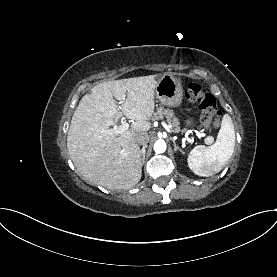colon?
Returning <instances> with one entry per match:
<instances>
[{"label":"colon","instance_id":"obj_1","mask_svg":"<svg viewBox=\"0 0 277 277\" xmlns=\"http://www.w3.org/2000/svg\"><path fill=\"white\" fill-rule=\"evenodd\" d=\"M184 95L189 101L198 104L201 110V123L206 129L219 125L221 111L213 95L205 93L197 82H189L184 87Z\"/></svg>","mask_w":277,"mask_h":277}]
</instances>
